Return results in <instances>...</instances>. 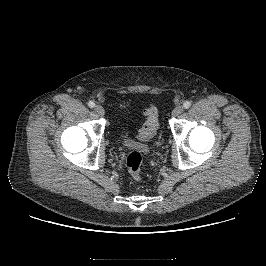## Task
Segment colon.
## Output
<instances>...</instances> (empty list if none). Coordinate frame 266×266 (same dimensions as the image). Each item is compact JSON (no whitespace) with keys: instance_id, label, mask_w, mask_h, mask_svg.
I'll return each instance as SVG.
<instances>
[{"instance_id":"obj_1","label":"colon","mask_w":266,"mask_h":266,"mask_svg":"<svg viewBox=\"0 0 266 266\" xmlns=\"http://www.w3.org/2000/svg\"><path fill=\"white\" fill-rule=\"evenodd\" d=\"M146 122L137 134L140 141H148L153 138L158 130V109L156 106H149L144 110ZM142 155L138 151H132L126 158V167L135 182H140L141 175Z\"/></svg>"}]
</instances>
